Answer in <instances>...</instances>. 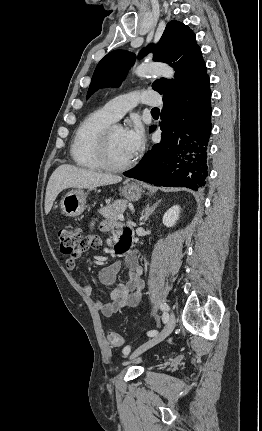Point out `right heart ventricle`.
<instances>
[{
    "instance_id": "e07e8e85",
    "label": "right heart ventricle",
    "mask_w": 262,
    "mask_h": 431,
    "mask_svg": "<svg viewBox=\"0 0 262 431\" xmlns=\"http://www.w3.org/2000/svg\"><path fill=\"white\" fill-rule=\"evenodd\" d=\"M114 121L104 108H100L90 113L80 123L70 148L77 166L86 170L103 169L99 158L100 137L103 130Z\"/></svg>"
}]
</instances>
